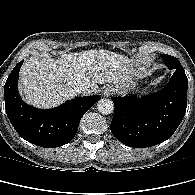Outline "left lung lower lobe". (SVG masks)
<instances>
[{
    "mask_svg": "<svg viewBox=\"0 0 195 195\" xmlns=\"http://www.w3.org/2000/svg\"><path fill=\"white\" fill-rule=\"evenodd\" d=\"M169 83L159 92L112 98L115 110L112 134L123 144L150 147L169 139L181 123L187 107L188 79L182 68H174Z\"/></svg>",
    "mask_w": 195,
    "mask_h": 195,
    "instance_id": "left-lung-lower-lobe-1",
    "label": "left lung lower lobe"
}]
</instances>
